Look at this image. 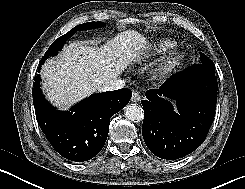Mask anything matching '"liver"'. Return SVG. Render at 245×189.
<instances>
[{"mask_svg": "<svg viewBox=\"0 0 245 189\" xmlns=\"http://www.w3.org/2000/svg\"><path fill=\"white\" fill-rule=\"evenodd\" d=\"M148 49L147 40L136 30L123 31L101 46L70 43L59 57L48 60L41 69L46 97L66 110L92 93L102 91Z\"/></svg>", "mask_w": 245, "mask_h": 189, "instance_id": "1", "label": "liver"}]
</instances>
